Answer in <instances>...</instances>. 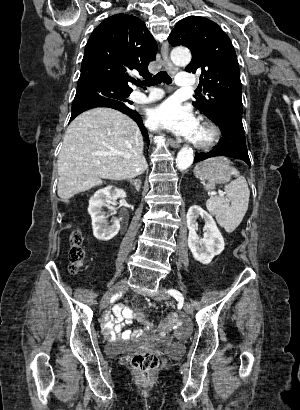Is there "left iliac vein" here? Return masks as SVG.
I'll return each mask as SVG.
<instances>
[{"mask_svg": "<svg viewBox=\"0 0 300 410\" xmlns=\"http://www.w3.org/2000/svg\"><path fill=\"white\" fill-rule=\"evenodd\" d=\"M152 299L157 301L166 300L169 296L166 294V290L164 288H159L158 292L151 295ZM183 309L187 314H191L193 309L190 303L184 302Z\"/></svg>", "mask_w": 300, "mask_h": 410, "instance_id": "1", "label": "left iliac vein"}]
</instances>
